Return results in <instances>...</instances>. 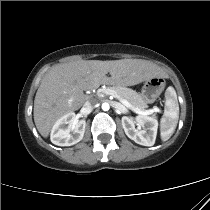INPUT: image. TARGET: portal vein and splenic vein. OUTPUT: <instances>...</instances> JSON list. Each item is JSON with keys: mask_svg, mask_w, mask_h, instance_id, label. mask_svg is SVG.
I'll return each mask as SVG.
<instances>
[{"mask_svg": "<svg viewBox=\"0 0 210 210\" xmlns=\"http://www.w3.org/2000/svg\"><path fill=\"white\" fill-rule=\"evenodd\" d=\"M102 94L112 95L117 100H119L123 105H125L127 108L131 109L132 111H134L136 113H142V114L149 115L156 111L155 109L140 111V110L134 108L127 100H125V99L121 98L119 95H117V93L114 92L113 90H99V95L102 96Z\"/></svg>", "mask_w": 210, "mask_h": 210, "instance_id": "1", "label": "portal vein and splenic vein"}]
</instances>
